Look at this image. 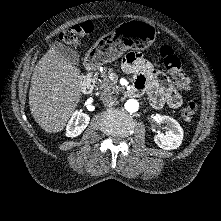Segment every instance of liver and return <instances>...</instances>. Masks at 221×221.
<instances>
[{
	"label": "liver",
	"instance_id": "6515ba94",
	"mask_svg": "<svg viewBox=\"0 0 221 221\" xmlns=\"http://www.w3.org/2000/svg\"><path fill=\"white\" fill-rule=\"evenodd\" d=\"M81 71L52 46L36 64L29 91L31 114L48 133L60 132L80 102Z\"/></svg>",
	"mask_w": 221,
	"mask_h": 221
}]
</instances>
